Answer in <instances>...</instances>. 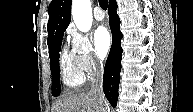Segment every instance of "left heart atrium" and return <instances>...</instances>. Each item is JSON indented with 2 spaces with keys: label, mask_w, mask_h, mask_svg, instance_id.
<instances>
[{
  "label": "left heart atrium",
  "mask_w": 193,
  "mask_h": 112,
  "mask_svg": "<svg viewBox=\"0 0 193 112\" xmlns=\"http://www.w3.org/2000/svg\"><path fill=\"white\" fill-rule=\"evenodd\" d=\"M95 52L101 59L105 58L111 47V35L108 29L100 26L94 34Z\"/></svg>",
  "instance_id": "obj_1"
}]
</instances>
